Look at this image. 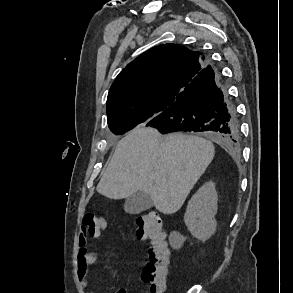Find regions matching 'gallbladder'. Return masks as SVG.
<instances>
[{
	"label": "gallbladder",
	"mask_w": 293,
	"mask_h": 293,
	"mask_svg": "<svg viewBox=\"0 0 293 293\" xmlns=\"http://www.w3.org/2000/svg\"><path fill=\"white\" fill-rule=\"evenodd\" d=\"M152 206L151 197L145 192L138 191L125 200L124 210L130 214H139Z\"/></svg>",
	"instance_id": "1"
}]
</instances>
